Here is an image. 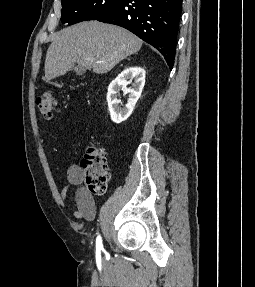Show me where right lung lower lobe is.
I'll return each instance as SVG.
<instances>
[{
	"label": "right lung lower lobe",
	"instance_id": "right-lung-lower-lobe-1",
	"mask_svg": "<svg viewBox=\"0 0 255 287\" xmlns=\"http://www.w3.org/2000/svg\"><path fill=\"white\" fill-rule=\"evenodd\" d=\"M181 11L182 0H124L95 20L133 32L160 51L172 69Z\"/></svg>",
	"mask_w": 255,
	"mask_h": 287
}]
</instances>
